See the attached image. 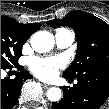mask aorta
<instances>
[{"mask_svg":"<svg viewBox=\"0 0 109 109\" xmlns=\"http://www.w3.org/2000/svg\"><path fill=\"white\" fill-rule=\"evenodd\" d=\"M32 48L39 53L49 52L54 47V36L47 31H37L31 37ZM51 102H58L62 97V91L58 87L49 88L46 93Z\"/></svg>","mask_w":109,"mask_h":109,"instance_id":"762f6f07","label":"aorta"}]
</instances>
